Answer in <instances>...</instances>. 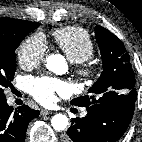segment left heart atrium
<instances>
[{
    "label": "left heart atrium",
    "instance_id": "1",
    "mask_svg": "<svg viewBox=\"0 0 142 142\" xmlns=\"http://www.w3.org/2000/svg\"><path fill=\"white\" fill-rule=\"evenodd\" d=\"M67 88L64 81L55 78L40 77L28 81L29 93L44 105L50 104L56 94H64Z\"/></svg>",
    "mask_w": 142,
    "mask_h": 142
}]
</instances>
